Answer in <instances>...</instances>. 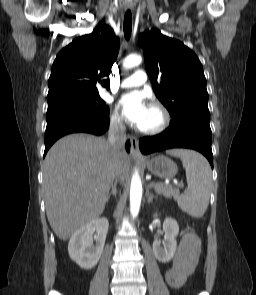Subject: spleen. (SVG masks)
<instances>
[{
	"label": "spleen",
	"instance_id": "3e777b00",
	"mask_svg": "<svg viewBox=\"0 0 256 295\" xmlns=\"http://www.w3.org/2000/svg\"><path fill=\"white\" fill-rule=\"evenodd\" d=\"M167 153L178 156L186 170L188 190L178 199L179 207L189 215L201 218L207 210L212 185L208 161L193 150L177 149Z\"/></svg>",
	"mask_w": 256,
	"mask_h": 295
}]
</instances>
